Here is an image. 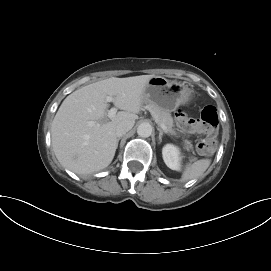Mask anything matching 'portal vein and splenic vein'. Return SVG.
Masks as SVG:
<instances>
[{
  "instance_id": "obj_1",
  "label": "portal vein and splenic vein",
  "mask_w": 271,
  "mask_h": 271,
  "mask_svg": "<svg viewBox=\"0 0 271 271\" xmlns=\"http://www.w3.org/2000/svg\"><path fill=\"white\" fill-rule=\"evenodd\" d=\"M106 101H107V102H112V101H113V97H112V96H107V97H106ZM116 113H117V108L113 107V108H111V109L108 111V117H109L110 119H112V118L115 117ZM94 124H95V123H94L93 121L88 122V125H89V126H93ZM160 127L162 128V130H163L164 132H167V127H166L164 124H161Z\"/></svg>"
}]
</instances>
